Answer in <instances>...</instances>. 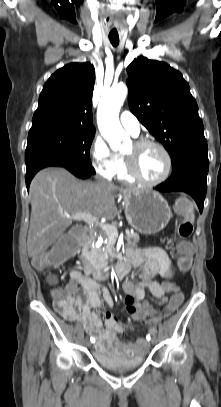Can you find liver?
<instances>
[{
	"label": "liver",
	"mask_w": 221,
	"mask_h": 407,
	"mask_svg": "<svg viewBox=\"0 0 221 407\" xmlns=\"http://www.w3.org/2000/svg\"><path fill=\"white\" fill-rule=\"evenodd\" d=\"M117 190L111 183L78 181L64 168L38 172L30 185L28 256L35 259L57 241L72 224L67 215L91 213L99 218L114 219ZM132 190L137 188L127 187L123 193Z\"/></svg>",
	"instance_id": "1"
}]
</instances>
